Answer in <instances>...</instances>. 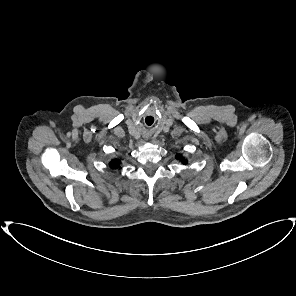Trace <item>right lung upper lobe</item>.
Returning a JSON list of instances; mask_svg holds the SVG:
<instances>
[{
    "label": "right lung upper lobe",
    "mask_w": 296,
    "mask_h": 296,
    "mask_svg": "<svg viewBox=\"0 0 296 296\" xmlns=\"http://www.w3.org/2000/svg\"><path fill=\"white\" fill-rule=\"evenodd\" d=\"M110 166L112 167V168H119L120 166H119V161L118 160H112L111 162H110Z\"/></svg>",
    "instance_id": "right-lung-upper-lobe-1"
}]
</instances>
